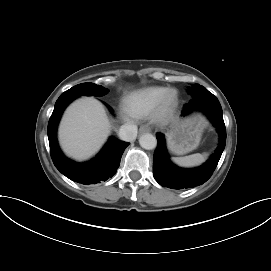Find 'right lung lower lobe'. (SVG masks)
<instances>
[{"mask_svg":"<svg viewBox=\"0 0 271 271\" xmlns=\"http://www.w3.org/2000/svg\"><path fill=\"white\" fill-rule=\"evenodd\" d=\"M74 99L59 97L48 123V139L53 163L62 174L75 182L87 185L106 181L116 173L121 156L129 143L111 137L102 151L91 161L76 163L67 159L58 146L56 130L65 107Z\"/></svg>","mask_w":271,"mask_h":271,"instance_id":"98d812e1","label":"right lung lower lobe"}]
</instances>
